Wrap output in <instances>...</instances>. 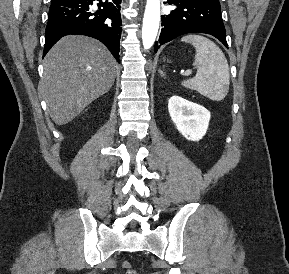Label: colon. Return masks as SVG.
<instances>
[{
	"mask_svg": "<svg viewBox=\"0 0 289 274\" xmlns=\"http://www.w3.org/2000/svg\"><path fill=\"white\" fill-rule=\"evenodd\" d=\"M122 267L125 270V274H138L133 268L129 261H124Z\"/></svg>",
	"mask_w": 289,
	"mask_h": 274,
	"instance_id": "colon-1",
	"label": "colon"
}]
</instances>
